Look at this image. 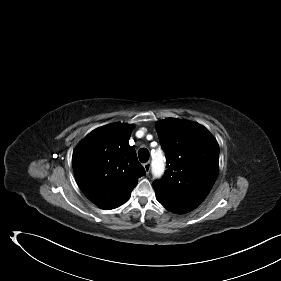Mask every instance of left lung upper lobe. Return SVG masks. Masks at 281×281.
<instances>
[{"mask_svg": "<svg viewBox=\"0 0 281 281\" xmlns=\"http://www.w3.org/2000/svg\"><path fill=\"white\" fill-rule=\"evenodd\" d=\"M166 153L167 170L153 187L156 198L199 205L208 195L219 172V146L202 125L169 118L156 126Z\"/></svg>", "mask_w": 281, "mask_h": 281, "instance_id": "obj_1", "label": "left lung upper lobe"}]
</instances>
